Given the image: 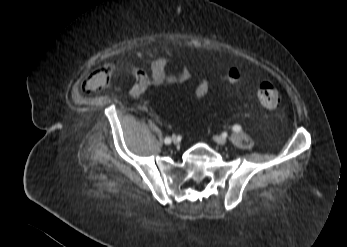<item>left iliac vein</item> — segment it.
<instances>
[{
	"instance_id": "left-iliac-vein-1",
	"label": "left iliac vein",
	"mask_w": 347,
	"mask_h": 247,
	"mask_svg": "<svg viewBox=\"0 0 347 247\" xmlns=\"http://www.w3.org/2000/svg\"><path fill=\"white\" fill-rule=\"evenodd\" d=\"M213 140L219 145L226 144V138L220 135L213 136Z\"/></svg>"
}]
</instances>
